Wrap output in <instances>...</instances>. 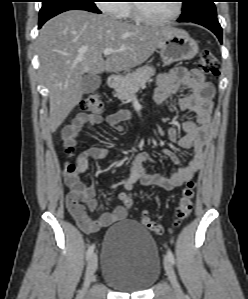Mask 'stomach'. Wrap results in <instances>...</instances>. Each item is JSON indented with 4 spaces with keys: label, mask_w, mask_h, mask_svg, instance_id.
Masks as SVG:
<instances>
[{
    "label": "stomach",
    "mask_w": 248,
    "mask_h": 299,
    "mask_svg": "<svg viewBox=\"0 0 248 299\" xmlns=\"http://www.w3.org/2000/svg\"><path fill=\"white\" fill-rule=\"evenodd\" d=\"M159 53L163 63L169 65L194 58L198 53V44L186 31L173 29L161 42Z\"/></svg>",
    "instance_id": "1"
}]
</instances>
